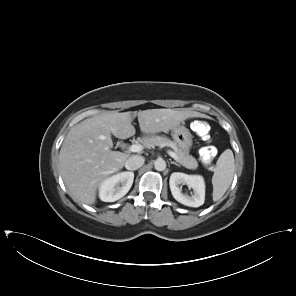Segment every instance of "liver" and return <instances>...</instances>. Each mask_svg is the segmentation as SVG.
Wrapping results in <instances>:
<instances>
[{"instance_id":"1","label":"liver","mask_w":296,"mask_h":296,"mask_svg":"<svg viewBox=\"0 0 296 296\" xmlns=\"http://www.w3.org/2000/svg\"><path fill=\"white\" fill-rule=\"evenodd\" d=\"M136 115L145 134L168 132L188 118L205 117L189 110L148 109L137 113L107 112L76 124L66 135L59 154L60 172L74 201L94 204L101 183L123 168L129 155L111 150V134L119 139L133 136Z\"/></svg>"}]
</instances>
